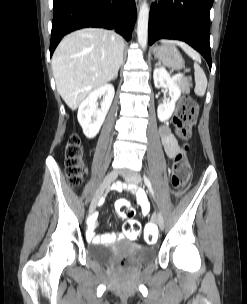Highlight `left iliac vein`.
Instances as JSON below:
<instances>
[{"label":"left iliac vein","mask_w":247,"mask_h":304,"mask_svg":"<svg viewBox=\"0 0 247 304\" xmlns=\"http://www.w3.org/2000/svg\"><path fill=\"white\" fill-rule=\"evenodd\" d=\"M141 176L137 173L131 175V176H128L126 177V181L130 184H138L141 182ZM155 221L157 222L158 226L160 229H164V226H165V222H164V218H163V215L160 213V212H157L155 214V217H154Z\"/></svg>","instance_id":"obj_1"}]
</instances>
